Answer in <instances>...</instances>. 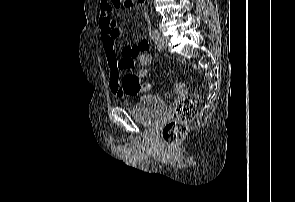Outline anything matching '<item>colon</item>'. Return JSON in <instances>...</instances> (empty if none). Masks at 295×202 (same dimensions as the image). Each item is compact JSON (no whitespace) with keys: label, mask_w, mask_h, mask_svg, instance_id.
Returning <instances> with one entry per match:
<instances>
[{"label":"colon","mask_w":295,"mask_h":202,"mask_svg":"<svg viewBox=\"0 0 295 202\" xmlns=\"http://www.w3.org/2000/svg\"><path fill=\"white\" fill-rule=\"evenodd\" d=\"M115 7H130L133 0H111ZM146 43V42H143ZM152 60L151 52H140L138 65L141 68H150ZM109 62V61H108ZM137 75H151V70H137ZM152 82H143L134 74H126L122 79V90L124 92H133L134 90H151ZM175 91L183 92V84L176 83ZM200 105V96L190 94L187 98H181L175 105L173 117L163 127L162 138L170 145L178 143L185 136L189 123L196 117Z\"/></svg>","instance_id":"5ec220e1"}]
</instances>
